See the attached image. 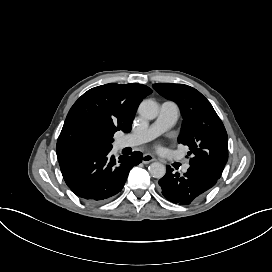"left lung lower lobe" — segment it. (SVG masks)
Here are the masks:
<instances>
[{
  "label": "left lung lower lobe",
  "instance_id": "left-lung-lower-lobe-1",
  "mask_svg": "<svg viewBox=\"0 0 272 272\" xmlns=\"http://www.w3.org/2000/svg\"><path fill=\"white\" fill-rule=\"evenodd\" d=\"M212 173L190 166L183 176L166 166V174L159 180L163 196L172 203L189 205L204 196L217 182Z\"/></svg>",
  "mask_w": 272,
  "mask_h": 272
}]
</instances>
